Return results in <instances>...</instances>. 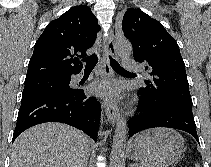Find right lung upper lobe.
<instances>
[{"mask_svg": "<svg viewBox=\"0 0 211 167\" xmlns=\"http://www.w3.org/2000/svg\"><path fill=\"white\" fill-rule=\"evenodd\" d=\"M98 31L97 19L86 5L72 7L51 21L35 43L25 81L78 74L80 59L94 44Z\"/></svg>", "mask_w": 211, "mask_h": 167, "instance_id": "obj_1", "label": "right lung upper lobe"}]
</instances>
